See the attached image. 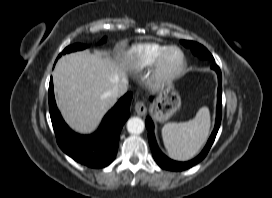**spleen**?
<instances>
[{"mask_svg": "<svg viewBox=\"0 0 272 198\" xmlns=\"http://www.w3.org/2000/svg\"><path fill=\"white\" fill-rule=\"evenodd\" d=\"M210 124L208 107L200 108L195 118L187 122L165 124L162 138L170 157L180 161L193 158L206 142Z\"/></svg>", "mask_w": 272, "mask_h": 198, "instance_id": "1", "label": "spleen"}]
</instances>
